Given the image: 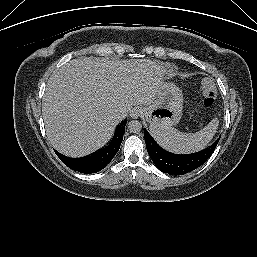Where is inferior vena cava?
Returning <instances> with one entry per match:
<instances>
[{"instance_id":"inferior-vena-cava-1","label":"inferior vena cava","mask_w":257,"mask_h":257,"mask_svg":"<svg viewBox=\"0 0 257 257\" xmlns=\"http://www.w3.org/2000/svg\"><path fill=\"white\" fill-rule=\"evenodd\" d=\"M116 116L118 120H123L127 114L125 112H119Z\"/></svg>"}]
</instances>
